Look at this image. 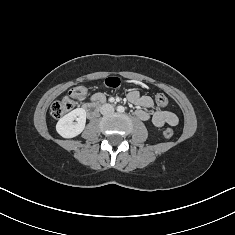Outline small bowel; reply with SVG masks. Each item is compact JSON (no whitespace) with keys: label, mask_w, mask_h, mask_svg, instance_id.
Listing matches in <instances>:
<instances>
[{"label":"small bowel","mask_w":235,"mask_h":235,"mask_svg":"<svg viewBox=\"0 0 235 235\" xmlns=\"http://www.w3.org/2000/svg\"><path fill=\"white\" fill-rule=\"evenodd\" d=\"M128 99L133 104L140 107L136 111V115L142 120L151 119L152 123L161 128L165 125L175 126L178 124V117L171 111L157 110L153 113L148 111L152 107L153 101L150 96L141 95L138 91H132L128 94ZM105 100V95L102 93H95L90 97L91 102H102Z\"/></svg>","instance_id":"obj_1"}]
</instances>
